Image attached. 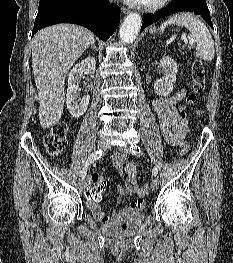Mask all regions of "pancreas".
Wrapping results in <instances>:
<instances>
[{"mask_svg": "<svg viewBox=\"0 0 233 263\" xmlns=\"http://www.w3.org/2000/svg\"><path fill=\"white\" fill-rule=\"evenodd\" d=\"M185 48H188V49H190L191 47H190V46H188V45H186V44L181 46V49H185Z\"/></svg>", "mask_w": 233, "mask_h": 263, "instance_id": "cf45deb5", "label": "pancreas"}]
</instances>
